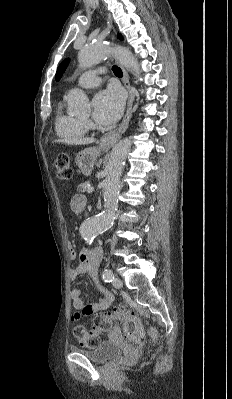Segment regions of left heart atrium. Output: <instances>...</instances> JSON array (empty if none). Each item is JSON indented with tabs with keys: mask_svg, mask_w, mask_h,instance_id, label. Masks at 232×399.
I'll return each instance as SVG.
<instances>
[{
	"mask_svg": "<svg viewBox=\"0 0 232 399\" xmlns=\"http://www.w3.org/2000/svg\"><path fill=\"white\" fill-rule=\"evenodd\" d=\"M124 99L121 91L109 88L94 99L93 119L102 125L114 124L122 115Z\"/></svg>",
	"mask_w": 232,
	"mask_h": 399,
	"instance_id": "1",
	"label": "left heart atrium"
}]
</instances>
